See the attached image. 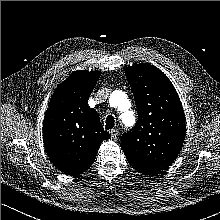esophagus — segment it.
I'll return each instance as SVG.
<instances>
[{"mask_svg": "<svg viewBox=\"0 0 220 220\" xmlns=\"http://www.w3.org/2000/svg\"><path fill=\"white\" fill-rule=\"evenodd\" d=\"M110 135H111V139L116 140L117 136H118V130L117 129H111L109 131Z\"/></svg>", "mask_w": 220, "mask_h": 220, "instance_id": "34e87169", "label": "esophagus"}]
</instances>
